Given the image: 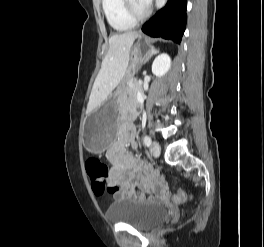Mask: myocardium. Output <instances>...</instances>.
<instances>
[{"instance_id": "myocardium-1", "label": "myocardium", "mask_w": 264, "mask_h": 247, "mask_svg": "<svg viewBox=\"0 0 264 247\" xmlns=\"http://www.w3.org/2000/svg\"><path fill=\"white\" fill-rule=\"evenodd\" d=\"M124 8L128 17L135 22L146 19L151 13V8L149 6H147L144 11L137 12L132 0H124Z\"/></svg>"}]
</instances>
